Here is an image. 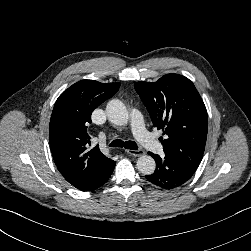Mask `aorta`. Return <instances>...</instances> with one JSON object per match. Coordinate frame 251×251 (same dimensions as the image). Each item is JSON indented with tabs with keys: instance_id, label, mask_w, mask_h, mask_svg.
Returning <instances> with one entry per match:
<instances>
[{
	"instance_id": "762f6f07",
	"label": "aorta",
	"mask_w": 251,
	"mask_h": 251,
	"mask_svg": "<svg viewBox=\"0 0 251 251\" xmlns=\"http://www.w3.org/2000/svg\"><path fill=\"white\" fill-rule=\"evenodd\" d=\"M108 120L115 125H125L129 115L124 103L118 99H113L106 106ZM137 169L144 175H151L156 168L155 160L148 155L141 156L137 160Z\"/></svg>"
}]
</instances>
